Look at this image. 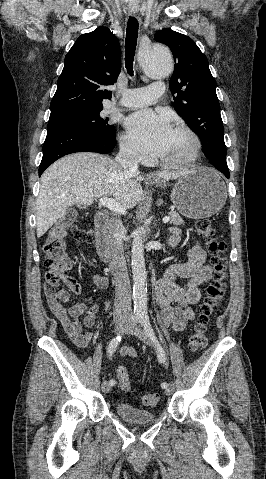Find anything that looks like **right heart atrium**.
<instances>
[{"label": "right heart atrium", "mask_w": 266, "mask_h": 479, "mask_svg": "<svg viewBox=\"0 0 266 479\" xmlns=\"http://www.w3.org/2000/svg\"><path fill=\"white\" fill-rule=\"evenodd\" d=\"M121 152L129 160L143 162L145 161V154L133 142V140L126 134L120 137Z\"/></svg>", "instance_id": "d8ad5b80"}]
</instances>
